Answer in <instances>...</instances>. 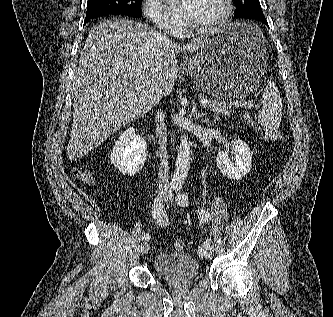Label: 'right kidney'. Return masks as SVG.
I'll return each mask as SVG.
<instances>
[{
	"label": "right kidney",
	"instance_id": "obj_1",
	"mask_svg": "<svg viewBox=\"0 0 333 317\" xmlns=\"http://www.w3.org/2000/svg\"><path fill=\"white\" fill-rule=\"evenodd\" d=\"M147 145L135 134L134 128L126 129L115 142L110 161L123 175L138 173L146 161Z\"/></svg>",
	"mask_w": 333,
	"mask_h": 317
}]
</instances>
